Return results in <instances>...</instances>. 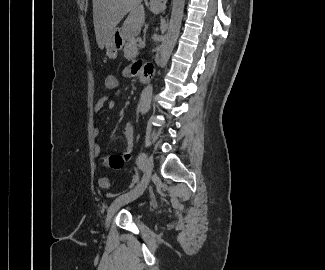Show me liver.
<instances>
[{"mask_svg": "<svg viewBox=\"0 0 325 270\" xmlns=\"http://www.w3.org/2000/svg\"><path fill=\"white\" fill-rule=\"evenodd\" d=\"M142 0H93V22L98 47L103 49L112 36L115 27L124 16L122 32L132 39L141 32L145 22Z\"/></svg>", "mask_w": 325, "mask_h": 270, "instance_id": "6515ba94", "label": "liver"}]
</instances>
